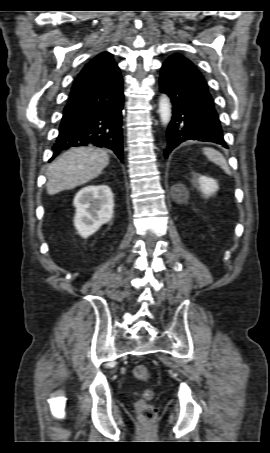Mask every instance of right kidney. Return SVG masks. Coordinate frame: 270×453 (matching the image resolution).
I'll use <instances>...</instances> for the list:
<instances>
[{"mask_svg": "<svg viewBox=\"0 0 270 453\" xmlns=\"http://www.w3.org/2000/svg\"><path fill=\"white\" fill-rule=\"evenodd\" d=\"M73 205L76 208L74 226L81 237L87 238L111 220L113 193L107 185L86 186L76 194Z\"/></svg>", "mask_w": 270, "mask_h": 453, "instance_id": "right-kidney-1", "label": "right kidney"}]
</instances>
